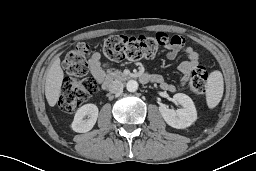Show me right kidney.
<instances>
[{
  "instance_id": "right-kidney-1",
  "label": "right kidney",
  "mask_w": 256,
  "mask_h": 171,
  "mask_svg": "<svg viewBox=\"0 0 256 171\" xmlns=\"http://www.w3.org/2000/svg\"><path fill=\"white\" fill-rule=\"evenodd\" d=\"M85 116L88 119H84ZM97 118L98 107L95 104H85L76 111L71 127L75 132L86 133L93 128Z\"/></svg>"
}]
</instances>
